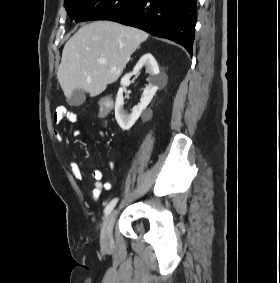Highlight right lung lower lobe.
Here are the masks:
<instances>
[{
  "mask_svg": "<svg viewBox=\"0 0 280 283\" xmlns=\"http://www.w3.org/2000/svg\"><path fill=\"white\" fill-rule=\"evenodd\" d=\"M197 0H132L106 18L182 45L191 55Z\"/></svg>",
  "mask_w": 280,
  "mask_h": 283,
  "instance_id": "obj_1",
  "label": "right lung lower lobe"
}]
</instances>
